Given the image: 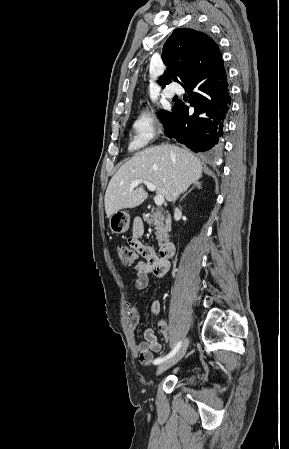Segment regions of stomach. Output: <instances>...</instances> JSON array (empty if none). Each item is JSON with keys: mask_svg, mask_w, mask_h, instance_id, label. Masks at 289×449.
Listing matches in <instances>:
<instances>
[{"mask_svg": "<svg viewBox=\"0 0 289 449\" xmlns=\"http://www.w3.org/2000/svg\"><path fill=\"white\" fill-rule=\"evenodd\" d=\"M130 216L125 211H117L109 218V227L113 233L122 234L129 228Z\"/></svg>", "mask_w": 289, "mask_h": 449, "instance_id": "1", "label": "stomach"}]
</instances>
